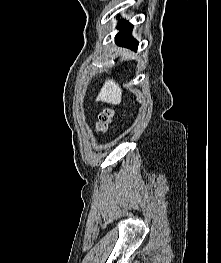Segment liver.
Returning <instances> with one entry per match:
<instances>
[{"instance_id": "1", "label": "liver", "mask_w": 221, "mask_h": 263, "mask_svg": "<svg viewBox=\"0 0 221 263\" xmlns=\"http://www.w3.org/2000/svg\"><path fill=\"white\" fill-rule=\"evenodd\" d=\"M122 99V89L118 83L113 79H108L105 81L103 87L101 88L96 100H101L102 102L118 105L121 103Z\"/></svg>"}]
</instances>
